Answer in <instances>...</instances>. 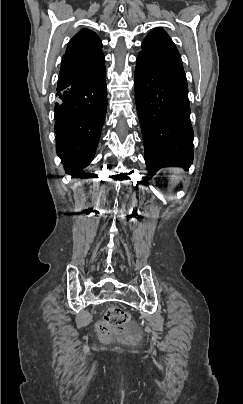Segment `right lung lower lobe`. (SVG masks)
I'll list each match as a JSON object with an SVG mask.
<instances>
[{"mask_svg":"<svg viewBox=\"0 0 243 404\" xmlns=\"http://www.w3.org/2000/svg\"><path fill=\"white\" fill-rule=\"evenodd\" d=\"M105 66L57 90L56 152L67 173L84 178L82 169L94 157L107 108Z\"/></svg>","mask_w":243,"mask_h":404,"instance_id":"98d812e1","label":"right lung lower lobe"}]
</instances>
